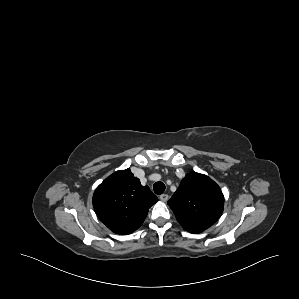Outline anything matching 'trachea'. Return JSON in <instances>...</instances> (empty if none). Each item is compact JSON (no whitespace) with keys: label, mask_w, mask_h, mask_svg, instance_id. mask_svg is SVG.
Instances as JSON below:
<instances>
[{"label":"trachea","mask_w":299,"mask_h":299,"mask_svg":"<svg viewBox=\"0 0 299 299\" xmlns=\"http://www.w3.org/2000/svg\"><path fill=\"white\" fill-rule=\"evenodd\" d=\"M154 192L158 195L162 194L165 191V184L163 182H156L153 185Z\"/></svg>","instance_id":"obj_1"}]
</instances>
